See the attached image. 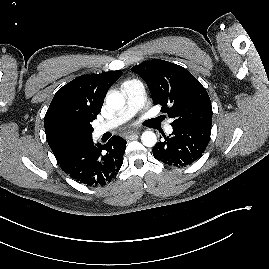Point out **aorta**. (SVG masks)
I'll return each instance as SVG.
<instances>
[{
	"label": "aorta",
	"instance_id": "obj_1",
	"mask_svg": "<svg viewBox=\"0 0 269 269\" xmlns=\"http://www.w3.org/2000/svg\"><path fill=\"white\" fill-rule=\"evenodd\" d=\"M106 104L114 110H119L125 105V98L120 92L114 91L106 96ZM141 141L144 146L153 147L157 142L156 134L152 131H145L142 133Z\"/></svg>",
	"mask_w": 269,
	"mask_h": 269
}]
</instances>
